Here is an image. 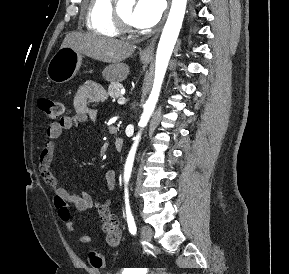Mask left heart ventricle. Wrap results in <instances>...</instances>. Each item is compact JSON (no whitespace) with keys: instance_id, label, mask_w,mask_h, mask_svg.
<instances>
[{"instance_id":"1","label":"left heart ventricle","mask_w":289,"mask_h":274,"mask_svg":"<svg viewBox=\"0 0 289 274\" xmlns=\"http://www.w3.org/2000/svg\"><path fill=\"white\" fill-rule=\"evenodd\" d=\"M118 12L120 13V15L127 20L129 23L130 22V17H131V13L133 10V7L131 5H121L118 8Z\"/></svg>"}]
</instances>
